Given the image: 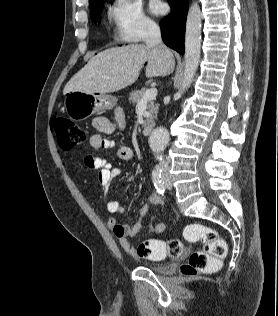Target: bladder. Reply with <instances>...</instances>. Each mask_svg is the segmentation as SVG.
<instances>
[{"instance_id": "obj_1", "label": "bladder", "mask_w": 278, "mask_h": 316, "mask_svg": "<svg viewBox=\"0 0 278 316\" xmlns=\"http://www.w3.org/2000/svg\"><path fill=\"white\" fill-rule=\"evenodd\" d=\"M142 266L158 274L170 273L174 268L173 264H161L153 262H145L142 264Z\"/></svg>"}]
</instances>
